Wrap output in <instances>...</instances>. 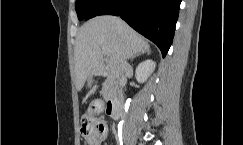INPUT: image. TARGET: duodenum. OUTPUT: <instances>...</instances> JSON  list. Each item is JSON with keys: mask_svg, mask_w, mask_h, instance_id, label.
<instances>
[{"mask_svg": "<svg viewBox=\"0 0 243 145\" xmlns=\"http://www.w3.org/2000/svg\"><path fill=\"white\" fill-rule=\"evenodd\" d=\"M118 71L114 67L109 66H98L93 69V74L100 76V75H115ZM122 100L118 98H109L106 103V113L114 119H118L121 115L122 109Z\"/></svg>", "mask_w": 243, "mask_h": 145, "instance_id": "duodenum-1", "label": "duodenum"}]
</instances>
